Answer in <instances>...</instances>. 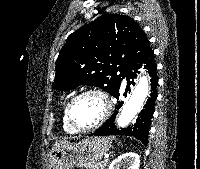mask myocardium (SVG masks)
<instances>
[{
    "instance_id": "1",
    "label": "myocardium",
    "mask_w": 200,
    "mask_h": 169,
    "mask_svg": "<svg viewBox=\"0 0 200 169\" xmlns=\"http://www.w3.org/2000/svg\"><path fill=\"white\" fill-rule=\"evenodd\" d=\"M86 95H97L98 97H100L104 104V110L100 119L94 125L88 128H79L74 123V120L72 117V108L78 99ZM112 110H113V100L111 96L109 95V93L102 88L90 87V88H86L80 91L79 93H77L70 99V101L67 104L66 114H67V119H68L69 124L76 132L87 133V132H92L98 129L108 119Z\"/></svg>"
}]
</instances>
